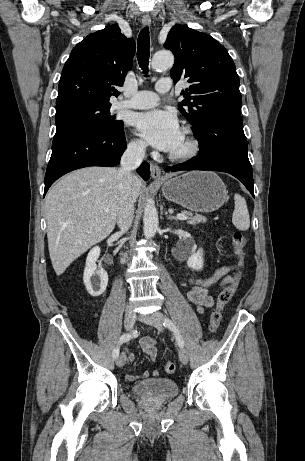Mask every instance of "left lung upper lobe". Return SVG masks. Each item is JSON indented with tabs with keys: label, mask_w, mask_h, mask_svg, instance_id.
Listing matches in <instances>:
<instances>
[{
	"label": "left lung upper lobe",
	"mask_w": 305,
	"mask_h": 461,
	"mask_svg": "<svg viewBox=\"0 0 305 461\" xmlns=\"http://www.w3.org/2000/svg\"><path fill=\"white\" fill-rule=\"evenodd\" d=\"M164 47L175 55L170 73L174 82L184 79L191 84L182 91L187 99L179 103V111L194 131L211 117L240 113L239 77L232 58L219 42L208 34L176 25Z\"/></svg>",
	"instance_id": "obj_1"
}]
</instances>
